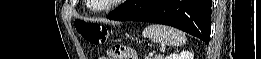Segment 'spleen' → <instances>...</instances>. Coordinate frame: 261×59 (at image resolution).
Listing matches in <instances>:
<instances>
[{"instance_id": "obj_1", "label": "spleen", "mask_w": 261, "mask_h": 59, "mask_svg": "<svg viewBox=\"0 0 261 59\" xmlns=\"http://www.w3.org/2000/svg\"><path fill=\"white\" fill-rule=\"evenodd\" d=\"M142 34L153 42L167 46H181L186 43V36L183 32L165 25H149L144 28Z\"/></svg>"}]
</instances>
